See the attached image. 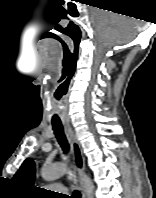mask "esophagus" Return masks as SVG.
<instances>
[{"label": "esophagus", "mask_w": 156, "mask_h": 198, "mask_svg": "<svg viewBox=\"0 0 156 198\" xmlns=\"http://www.w3.org/2000/svg\"><path fill=\"white\" fill-rule=\"evenodd\" d=\"M66 127H67V131H68L69 138L71 141L75 168H76L79 176L81 177L83 175L84 169H85V162H84L82 150H81L80 144H79L71 126L69 124H66ZM79 189L81 190V194H82L81 198H85V193H84V190L81 185H79Z\"/></svg>", "instance_id": "esophagus-1"}]
</instances>
